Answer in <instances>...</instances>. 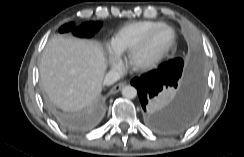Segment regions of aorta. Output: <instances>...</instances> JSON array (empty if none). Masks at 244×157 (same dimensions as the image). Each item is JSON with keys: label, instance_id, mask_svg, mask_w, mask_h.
<instances>
[{"label": "aorta", "instance_id": "762f6f07", "mask_svg": "<svg viewBox=\"0 0 244 157\" xmlns=\"http://www.w3.org/2000/svg\"><path fill=\"white\" fill-rule=\"evenodd\" d=\"M122 95L126 98L133 99L137 95V90L131 85H127L122 89Z\"/></svg>", "mask_w": 244, "mask_h": 157}]
</instances>
